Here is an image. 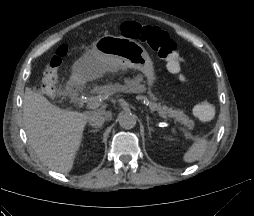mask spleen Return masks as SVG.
<instances>
[{"label": "spleen", "instance_id": "3e777b00", "mask_svg": "<svg viewBox=\"0 0 254 216\" xmlns=\"http://www.w3.org/2000/svg\"><path fill=\"white\" fill-rule=\"evenodd\" d=\"M208 144L206 137L197 138L184 154L183 160L186 163H192L200 160L206 154Z\"/></svg>", "mask_w": 254, "mask_h": 216}]
</instances>
